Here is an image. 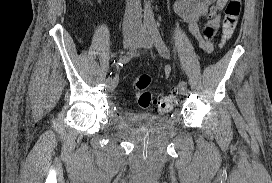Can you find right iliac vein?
I'll use <instances>...</instances> for the list:
<instances>
[{
  "instance_id": "63e3f726",
  "label": "right iliac vein",
  "mask_w": 272,
  "mask_h": 183,
  "mask_svg": "<svg viewBox=\"0 0 272 183\" xmlns=\"http://www.w3.org/2000/svg\"><path fill=\"white\" fill-rule=\"evenodd\" d=\"M137 42V35L134 30H130L124 33L123 46L125 49L132 47ZM118 81L106 80V88L109 91H113L117 86Z\"/></svg>"
}]
</instances>
